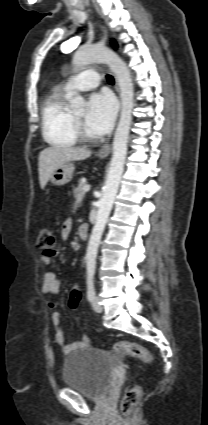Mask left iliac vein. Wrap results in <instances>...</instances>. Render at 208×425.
I'll list each match as a JSON object with an SVG mask.
<instances>
[{
    "mask_svg": "<svg viewBox=\"0 0 208 425\" xmlns=\"http://www.w3.org/2000/svg\"><path fill=\"white\" fill-rule=\"evenodd\" d=\"M92 308L95 312L101 313L103 310V307L99 303V297H94L92 300Z\"/></svg>",
    "mask_w": 208,
    "mask_h": 425,
    "instance_id": "left-iliac-vein-1",
    "label": "left iliac vein"
}]
</instances>
